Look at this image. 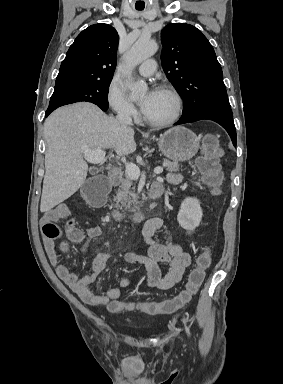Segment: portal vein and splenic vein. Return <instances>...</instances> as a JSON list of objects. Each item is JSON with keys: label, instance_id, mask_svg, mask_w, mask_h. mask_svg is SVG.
Masks as SVG:
<instances>
[{"label": "portal vein and splenic vein", "instance_id": "1", "mask_svg": "<svg viewBox=\"0 0 283 384\" xmlns=\"http://www.w3.org/2000/svg\"><path fill=\"white\" fill-rule=\"evenodd\" d=\"M105 152L103 150H86L84 152V158L90 164H101V162H106L105 160ZM127 176H129L130 180H138L140 176V170L136 164H126L125 170ZM163 168H155L154 174H162Z\"/></svg>", "mask_w": 283, "mask_h": 384}]
</instances>
